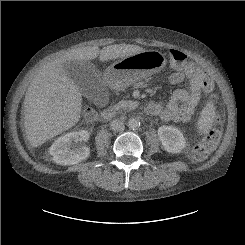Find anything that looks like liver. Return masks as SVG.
Returning a JSON list of instances; mask_svg holds the SVG:
<instances>
[{"label":"liver","mask_w":245,"mask_h":245,"mask_svg":"<svg viewBox=\"0 0 245 245\" xmlns=\"http://www.w3.org/2000/svg\"><path fill=\"white\" fill-rule=\"evenodd\" d=\"M146 51L130 44L83 47L66 52L46 63L32 79L24 99V128L32 147L73 127L80 119L82 94L67 76L65 64L89 61L99 56L101 61L124 58Z\"/></svg>","instance_id":"obj_1"}]
</instances>
